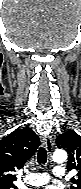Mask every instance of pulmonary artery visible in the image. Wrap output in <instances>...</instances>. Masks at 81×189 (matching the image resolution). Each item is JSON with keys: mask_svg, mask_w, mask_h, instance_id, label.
<instances>
[{"mask_svg": "<svg viewBox=\"0 0 81 189\" xmlns=\"http://www.w3.org/2000/svg\"><path fill=\"white\" fill-rule=\"evenodd\" d=\"M53 174L56 178H63L65 176V170L61 166L53 168ZM50 179L47 173H33L27 178V183L32 186H41L46 184Z\"/></svg>", "mask_w": 81, "mask_h": 189, "instance_id": "obj_1", "label": "pulmonary artery"}]
</instances>
